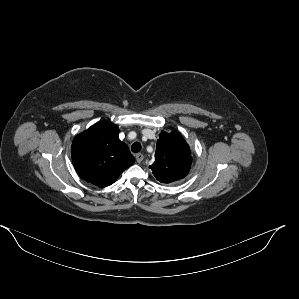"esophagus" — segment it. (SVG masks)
<instances>
[{
    "label": "esophagus",
    "instance_id": "obj_1",
    "mask_svg": "<svg viewBox=\"0 0 299 299\" xmlns=\"http://www.w3.org/2000/svg\"><path fill=\"white\" fill-rule=\"evenodd\" d=\"M135 158L138 163H141L142 160L144 159V156H143V154L138 153V154H136Z\"/></svg>",
    "mask_w": 299,
    "mask_h": 299
}]
</instances>
